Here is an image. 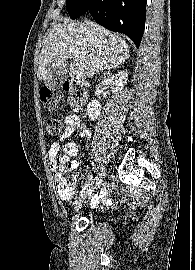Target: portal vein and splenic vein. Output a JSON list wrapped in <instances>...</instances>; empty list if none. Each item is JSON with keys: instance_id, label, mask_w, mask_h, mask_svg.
<instances>
[{"instance_id": "obj_1", "label": "portal vein and splenic vein", "mask_w": 195, "mask_h": 270, "mask_svg": "<svg viewBox=\"0 0 195 270\" xmlns=\"http://www.w3.org/2000/svg\"><path fill=\"white\" fill-rule=\"evenodd\" d=\"M70 52H73V55H76L78 52H75V51H70Z\"/></svg>"}]
</instances>
